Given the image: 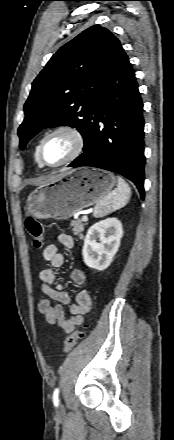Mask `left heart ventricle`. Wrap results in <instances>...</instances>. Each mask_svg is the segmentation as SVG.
<instances>
[{
  "label": "left heart ventricle",
  "instance_id": "1",
  "mask_svg": "<svg viewBox=\"0 0 174 440\" xmlns=\"http://www.w3.org/2000/svg\"><path fill=\"white\" fill-rule=\"evenodd\" d=\"M73 141L70 136L59 133L49 137L42 148V159L54 165L62 162L72 151Z\"/></svg>",
  "mask_w": 174,
  "mask_h": 440
}]
</instances>
